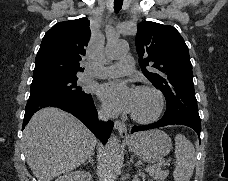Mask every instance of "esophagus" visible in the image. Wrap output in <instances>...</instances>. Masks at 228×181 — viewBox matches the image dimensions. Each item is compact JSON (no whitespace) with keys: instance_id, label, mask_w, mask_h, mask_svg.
Masks as SVG:
<instances>
[{"instance_id":"obj_1","label":"esophagus","mask_w":228,"mask_h":181,"mask_svg":"<svg viewBox=\"0 0 228 181\" xmlns=\"http://www.w3.org/2000/svg\"><path fill=\"white\" fill-rule=\"evenodd\" d=\"M114 127L121 137L127 136L128 128L125 123H122V121H115Z\"/></svg>"}]
</instances>
